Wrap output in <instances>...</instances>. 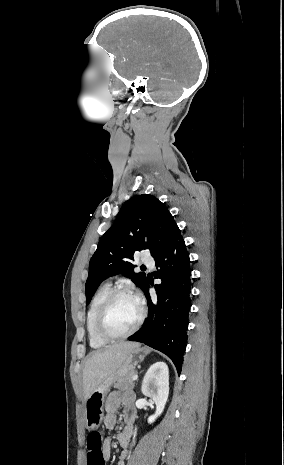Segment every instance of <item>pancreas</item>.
Segmentation results:
<instances>
[{"label":"pancreas","instance_id":"obj_1","mask_svg":"<svg viewBox=\"0 0 284 465\" xmlns=\"http://www.w3.org/2000/svg\"><path fill=\"white\" fill-rule=\"evenodd\" d=\"M134 375H137L136 371H130L127 375H120L117 383H115L114 389H119V391H132L135 387L133 381Z\"/></svg>","mask_w":284,"mask_h":465}]
</instances>
